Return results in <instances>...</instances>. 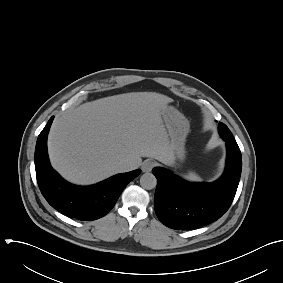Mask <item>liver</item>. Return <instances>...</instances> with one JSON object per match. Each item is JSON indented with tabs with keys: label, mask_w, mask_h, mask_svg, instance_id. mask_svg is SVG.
I'll return each instance as SVG.
<instances>
[{
	"label": "liver",
	"mask_w": 283,
	"mask_h": 283,
	"mask_svg": "<svg viewBox=\"0 0 283 283\" xmlns=\"http://www.w3.org/2000/svg\"><path fill=\"white\" fill-rule=\"evenodd\" d=\"M173 100L155 92H132L87 102L57 118L48 136L52 166L68 181L88 185L135 168L141 157L173 161L162 111Z\"/></svg>",
	"instance_id": "6515ba94"
}]
</instances>
